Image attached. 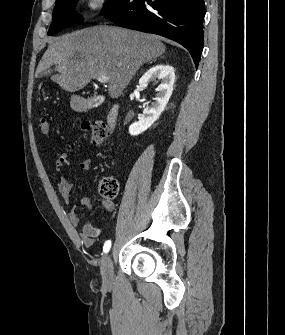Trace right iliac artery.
Returning <instances> with one entry per match:
<instances>
[{
	"instance_id": "1",
	"label": "right iliac artery",
	"mask_w": 285,
	"mask_h": 335,
	"mask_svg": "<svg viewBox=\"0 0 285 335\" xmlns=\"http://www.w3.org/2000/svg\"><path fill=\"white\" fill-rule=\"evenodd\" d=\"M110 247H111V241L108 240V241H106L105 244H104L103 251H104L105 253H107V252L110 250Z\"/></svg>"
}]
</instances>
